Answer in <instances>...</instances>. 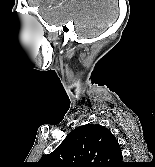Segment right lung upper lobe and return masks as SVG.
<instances>
[{"label":"right lung upper lobe","instance_id":"obj_1","mask_svg":"<svg viewBox=\"0 0 155 167\" xmlns=\"http://www.w3.org/2000/svg\"><path fill=\"white\" fill-rule=\"evenodd\" d=\"M122 154L114 135L98 124L77 127L50 154L40 159L42 167H118Z\"/></svg>","mask_w":155,"mask_h":167}]
</instances>
